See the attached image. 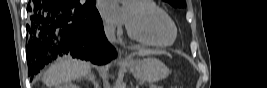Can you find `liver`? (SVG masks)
Listing matches in <instances>:
<instances>
[{
	"label": "liver",
	"mask_w": 267,
	"mask_h": 88,
	"mask_svg": "<svg viewBox=\"0 0 267 88\" xmlns=\"http://www.w3.org/2000/svg\"><path fill=\"white\" fill-rule=\"evenodd\" d=\"M160 54H163V52L145 49L137 51V55L139 56ZM89 73H91L89 63L73 59H62L52 64L44 73L43 83L49 88H53V86L70 82L82 76L88 75Z\"/></svg>",
	"instance_id": "6515ba94"
}]
</instances>
